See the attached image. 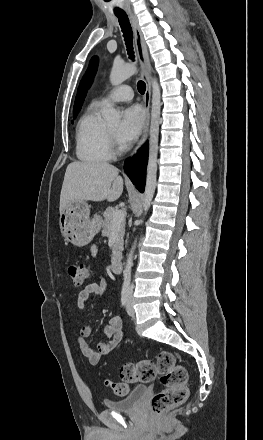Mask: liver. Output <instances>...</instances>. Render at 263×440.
<instances>
[{
  "label": "liver",
  "mask_w": 263,
  "mask_h": 440,
  "mask_svg": "<svg viewBox=\"0 0 263 440\" xmlns=\"http://www.w3.org/2000/svg\"><path fill=\"white\" fill-rule=\"evenodd\" d=\"M119 170L107 162L70 163L65 172L60 194V214L71 202L116 201L123 192Z\"/></svg>",
  "instance_id": "1"
}]
</instances>
